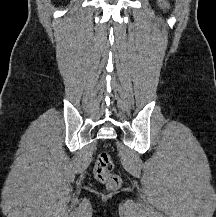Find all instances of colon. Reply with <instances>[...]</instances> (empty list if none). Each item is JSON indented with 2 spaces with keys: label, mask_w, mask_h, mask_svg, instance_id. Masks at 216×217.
Here are the masks:
<instances>
[{
  "label": "colon",
  "mask_w": 216,
  "mask_h": 217,
  "mask_svg": "<svg viewBox=\"0 0 216 217\" xmlns=\"http://www.w3.org/2000/svg\"><path fill=\"white\" fill-rule=\"evenodd\" d=\"M113 162L111 156L107 152L99 154L95 167V178L102 184L106 185L109 189H116L120 186V177L112 172Z\"/></svg>",
  "instance_id": "5ec220e1"
}]
</instances>
